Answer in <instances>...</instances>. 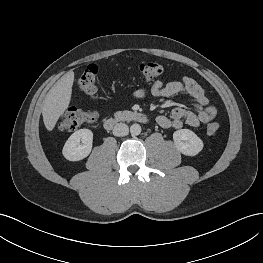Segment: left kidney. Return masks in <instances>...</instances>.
Wrapping results in <instances>:
<instances>
[{
  "label": "left kidney",
  "mask_w": 263,
  "mask_h": 263,
  "mask_svg": "<svg viewBox=\"0 0 263 263\" xmlns=\"http://www.w3.org/2000/svg\"><path fill=\"white\" fill-rule=\"evenodd\" d=\"M175 147L182 154L195 156L203 149V141L191 130L180 129L173 133Z\"/></svg>",
  "instance_id": "1"
}]
</instances>
